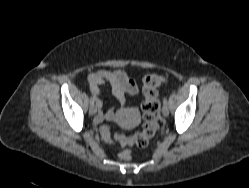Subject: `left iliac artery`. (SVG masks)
Wrapping results in <instances>:
<instances>
[{"instance_id":"44dca946","label":"left iliac artery","mask_w":249,"mask_h":188,"mask_svg":"<svg viewBox=\"0 0 249 188\" xmlns=\"http://www.w3.org/2000/svg\"><path fill=\"white\" fill-rule=\"evenodd\" d=\"M163 103H164V104H167V103H168L167 97L164 98Z\"/></svg>"}]
</instances>
